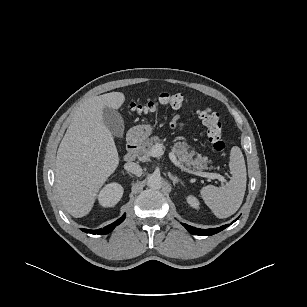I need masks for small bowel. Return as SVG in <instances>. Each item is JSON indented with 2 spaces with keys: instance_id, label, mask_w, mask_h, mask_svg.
I'll use <instances>...</instances> for the list:
<instances>
[{
  "instance_id": "small-bowel-1",
  "label": "small bowel",
  "mask_w": 307,
  "mask_h": 307,
  "mask_svg": "<svg viewBox=\"0 0 307 307\" xmlns=\"http://www.w3.org/2000/svg\"><path fill=\"white\" fill-rule=\"evenodd\" d=\"M181 123L179 122V117L178 116H175L174 118H173V120L171 121V123H170V127L171 128H181Z\"/></svg>"
}]
</instances>
